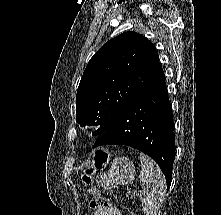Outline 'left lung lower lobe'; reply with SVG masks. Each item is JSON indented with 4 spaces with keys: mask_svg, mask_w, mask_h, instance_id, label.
Segmentation results:
<instances>
[{
    "mask_svg": "<svg viewBox=\"0 0 221 215\" xmlns=\"http://www.w3.org/2000/svg\"><path fill=\"white\" fill-rule=\"evenodd\" d=\"M162 77L138 96L94 143L127 145L153 158L167 181H172L175 157L173 120L168 92Z\"/></svg>",
    "mask_w": 221,
    "mask_h": 215,
    "instance_id": "1",
    "label": "left lung lower lobe"
}]
</instances>
